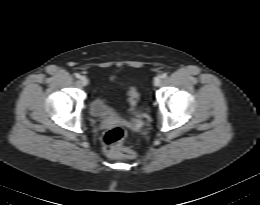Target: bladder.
Masks as SVG:
<instances>
[{
  "mask_svg": "<svg viewBox=\"0 0 260 205\" xmlns=\"http://www.w3.org/2000/svg\"><path fill=\"white\" fill-rule=\"evenodd\" d=\"M89 112L92 117L106 119L116 114L114 107L104 97L103 88H101L92 99Z\"/></svg>",
  "mask_w": 260,
  "mask_h": 205,
  "instance_id": "31cf9c89",
  "label": "bladder"
}]
</instances>
